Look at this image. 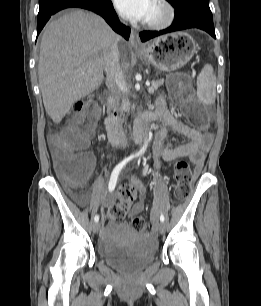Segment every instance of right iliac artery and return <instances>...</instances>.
Segmentation results:
<instances>
[{
	"label": "right iliac artery",
	"instance_id": "1",
	"mask_svg": "<svg viewBox=\"0 0 261 306\" xmlns=\"http://www.w3.org/2000/svg\"><path fill=\"white\" fill-rule=\"evenodd\" d=\"M134 156H129L127 158H125L123 161H121L115 168L114 170L112 171L111 173V177H110V181H109V185H108V188H109V191L112 192L115 187H116V183H117V179H118V176L120 174V171L122 170V168L131 160L133 159ZM94 221L95 222H98L99 221V216L98 215H95L94 217Z\"/></svg>",
	"mask_w": 261,
	"mask_h": 306
}]
</instances>
